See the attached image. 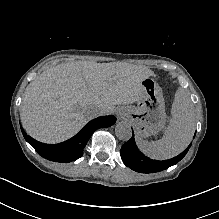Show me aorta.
<instances>
[{
  "instance_id": "762f6f07",
  "label": "aorta",
  "mask_w": 219,
  "mask_h": 219,
  "mask_svg": "<svg viewBox=\"0 0 219 219\" xmlns=\"http://www.w3.org/2000/svg\"><path fill=\"white\" fill-rule=\"evenodd\" d=\"M115 134L118 139L128 141L132 137V129L126 122H119L115 127Z\"/></svg>"
}]
</instances>
